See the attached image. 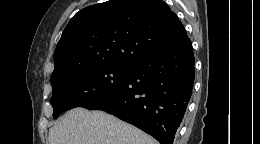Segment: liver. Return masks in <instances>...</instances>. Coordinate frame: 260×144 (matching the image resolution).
<instances>
[{"mask_svg":"<svg viewBox=\"0 0 260 144\" xmlns=\"http://www.w3.org/2000/svg\"><path fill=\"white\" fill-rule=\"evenodd\" d=\"M49 144H158L138 128L103 111L74 108L49 130Z\"/></svg>","mask_w":260,"mask_h":144,"instance_id":"1","label":"liver"}]
</instances>
